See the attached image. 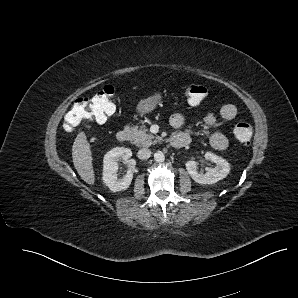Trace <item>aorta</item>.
Masks as SVG:
<instances>
[{"label":"aorta","mask_w":298,"mask_h":298,"mask_svg":"<svg viewBox=\"0 0 298 298\" xmlns=\"http://www.w3.org/2000/svg\"><path fill=\"white\" fill-rule=\"evenodd\" d=\"M164 159H165V156H164L163 152L158 151V152L154 153V160L156 162H162V161H164Z\"/></svg>","instance_id":"aorta-1"}]
</instances>
